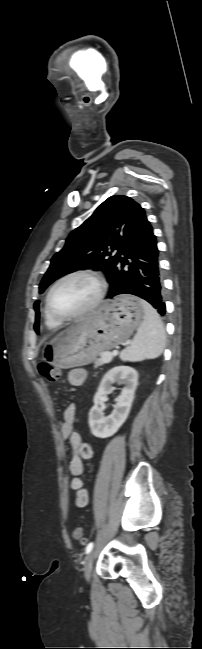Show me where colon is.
Returning <instances> with one entry per match:
<instances>
[{
    "mask_svg": "<svg viewBox=\"0 0 202 649\" xmlns=\"http://www.w3.org/2000/svg\"><path fill=\"white\" fill-rule=\"evenodd\" d=\"M38 370L41 376L48 381L55 382L59 379L60 376L59 370L50 364L40 363L38 366ZM73 538L80 543H84L85 539L83 537L82 527L78 526L74 529Z\"/></svg>",
    "mask_w": 202,
    "mask_h": 649,
    "instance_id": "1",
    "label": "colon"
}]
</instances>
